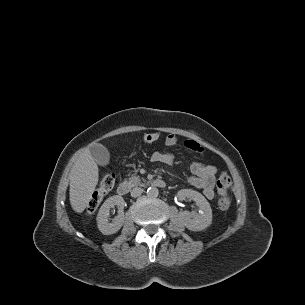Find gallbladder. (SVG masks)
<instances>
[{
    "label": "gallbladder",
    "mask_w": 305,
    "mask_h": 305,
    "mask_svg": "<svg viewBox=\"0 0 305 305\" xmlns=\"http://www.w3.org/2000/svg\"><path fill=\"white\" fill-rule=\"evenodd\" d=\"M89 150L97 164L101 166L109 164L110 154L105 146L101 144H93L90 146Z\"/></svg>",
    "instance_id": "obj_1"
}]
</instances>
